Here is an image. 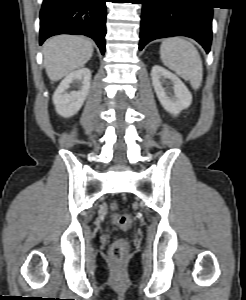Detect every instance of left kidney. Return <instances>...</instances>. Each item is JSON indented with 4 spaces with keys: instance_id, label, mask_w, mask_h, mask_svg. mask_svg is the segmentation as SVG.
<instances>
[{
    "instance_id": "5707ae66",
    "label": "left kidney",
    "mask_w": 246,
    "mask_h": 300,
    "mask_svg": "<svg viewBox=\"0 0 246 300\" xmlns=\"http://www.w3.org/2000/svg\"><path fill=\"white\" fill-rule=\"evenodd\" d=\"M152 85L163 108L176 116L192 103V95L185 84L173 73L159 65H154L151 71ZM171 83L173 94L167 87Z\"/></svg>"
}]
</instances>
